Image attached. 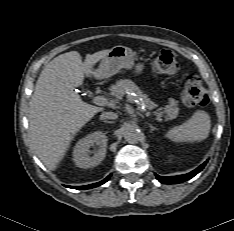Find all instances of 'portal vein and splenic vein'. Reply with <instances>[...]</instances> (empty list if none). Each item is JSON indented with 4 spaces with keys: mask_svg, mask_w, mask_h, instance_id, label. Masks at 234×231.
I'll return each instance as SVG.
<instances>
[{
    "mask_svg": "<svg viewBox=\"0 0 234 231\" xmlns=\"http://www.w3.org/2000/svg\"><path fill=\"white\" fill-rule=\"evenodd\" d=\"M93 102L96 105H99V106L110 105L109 101L105 97H103V96H96V97H94L93 98ZM154 115L157 117V119H160L162 117V114L157 113V112H154Z\"/></svg>",
    "mask_w": 234,
    "mask_h": 231,
    "instance_id": "obj_1",
    "label": "portal vein and splenic vein"
}]
</instances>
